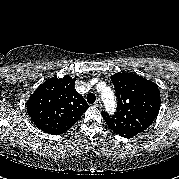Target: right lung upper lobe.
<instances>
[{
    "mask_svg": "<svg viewBox=\"0 0 179 179\" xmlns=\"http://www.w3.org/2000/svg\"><path fill=\"white\" fill-rule=\"evenodd\" d=\"M76 78H51L27 102L28 114L41 131L59 135L73 126L89 108L74 88Z\"/></svg>",
    "mask_w": 179,
    "mask_h": 179,
    "instance_id": "obj_1",
    "label": "right lung upper lobe"
}]
</instances>
